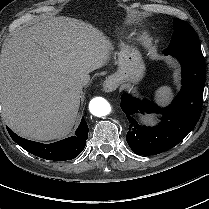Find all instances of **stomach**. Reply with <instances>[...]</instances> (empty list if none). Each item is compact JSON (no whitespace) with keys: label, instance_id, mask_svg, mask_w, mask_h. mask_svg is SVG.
Here are the masks:
<instances>
[{"label":"stomach","instance_id":"stomach-1","mask_svg":"<svg viewBox=\"0 0 209 209\" xmlns=\"http://www.w3.org/2000/svg\"><path fill=\"white\" fill-rule=\"evenodd\" d=\"M118 70L111 77L120 84H138L145 74V64L139 50L134 46L122 44L116 59Z\"/></svg>","mask_w":209,"mask_h":209}]
</instances>
